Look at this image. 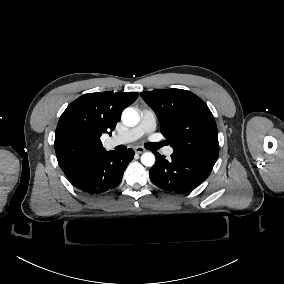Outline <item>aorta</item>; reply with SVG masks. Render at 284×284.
Masks as SVG:
<instances>
[{
  "mask_svg": "<svg viewBox=\"0 0 284 284\" xmlns=\"http://www.w3.org/2000/svg\"><path fill=\"white\" fill-rule=\"evenodd\" d=\"M121 120L128 127L136 126L140 121L139 113L136 109L128 107L122 112ZM141 163L144 166L152 167L155 164V156L151 152H145L141 156Z\"/></svg>",
  "mask_w": 284,
  "mask_h": 284,
  "instance_id": "aorta-1",
  "label": "aorta"
}]
</instances>
